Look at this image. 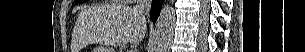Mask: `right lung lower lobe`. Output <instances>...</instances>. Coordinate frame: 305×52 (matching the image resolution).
<instances>
[{"label":"right lung lower lobe","mask_w":305,"mask_h":52,"mask_svg":"<svg viewBox=\"0 0 305 52\" xmlns=\"http://www.w3.org/2000/svg\"><path fill=\"white\" fill-rule=\"evenodd\" d=\"M163 0H153L152 1V9H151V18L153 22H156L158 15L160 13L162 7Z\"/></svg>","instance_id":"obj_1"}]
</instances>
